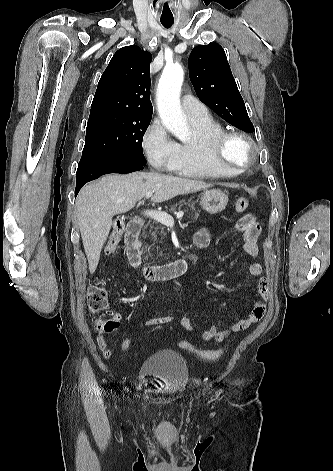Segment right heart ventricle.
<instances>
[{"label":"right heart ventricle","mask_w":333,"mask_h":471,"mask_svg":"<svg viewBox=\"0 0 333 471\" xmlns=\"http://www.w3.org/2000/svg\"><path fill=\"white\" fill-rule=\"evenodd\" d=\"M194 130L192 140L177 144V153L170 171L185 177L212 179L236 175L238 172L218 166L211 156L212 141L225 132L211 115L189 119Z\"/></svg>","instance_id":"e07e8e85"}]
</instances>
